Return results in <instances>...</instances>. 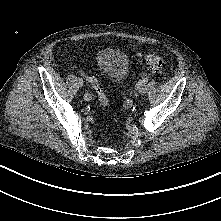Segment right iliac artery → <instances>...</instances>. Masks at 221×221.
Returning <instances> with one entry per match:
<instances>
[{
  "instance_id": "82829eb1",
  "label": "right iliac artery",
  "mask_w": 221,
  "mask_h": 221,
  "mask_svg": "<svg viewBox=\"0 0 221 221\" xmlns=\"http://www.w3.org/2000/svg\"><path fill=\"white\" fill-rule=\"evenodd\" d=\"M92 98H93V95L89 91H86L84 94V99L86 101H90Z\"/></svg>"
}]
</instances>
